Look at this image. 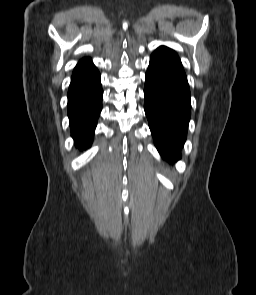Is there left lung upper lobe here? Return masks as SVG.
I'll return each mask as SVG.
<instances>
[{"label":"left lung upper lobe","instance_id":"5c2ea615","mask_svg":"<svg viewBox=\"0 0 256 295\" xmlns=\"http://www.w3.org/2000/svg\"><path fill=\"white\" fill-rule=\"evenodd\" d=\"M150 62L173 67L184 72L181 61L175 51L165 46L157 48L150 57Z\"/></svg>","mask_w":256,"mask_h":295}]
</instances>
